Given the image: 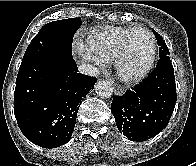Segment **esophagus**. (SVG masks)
<instances>
[{"mask_svg": "<svg viewBox=\"0 0 196 166\" xmlns=\"http://www.w3.org/2000/svg\"><path fill=\"white\" fill-rule=\"evenodd\" d=\"M114 93L118 96H121L124 94V88L120 87V86H114Z\"/></svg>", "mask_w": 196, "mask_h": 166, "instance_id": "esophagus-1", "label": "esophagus"}]
</instances>
